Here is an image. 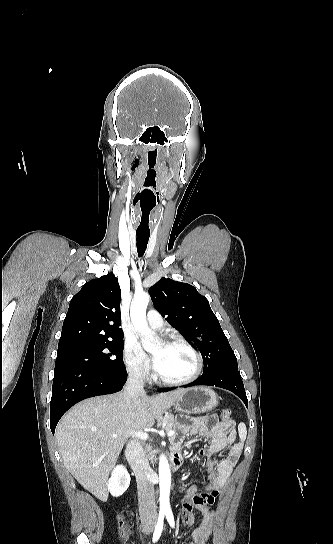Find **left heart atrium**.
<instances>
[{
	"label": "left heart atrium",
	"instance_id": "39dd6f15",
	"mask_svg": "<svg viewBox=\"0 0 333 544\" xmlns=\"http://www.w3.org/2000/svg\"><path fill=\"white\" fill-rule=\"evenodd\" d=\"M153 361H154V364H156V362H157V357L154 356Z\"/></svg>",
	"mask_w": 333,
	"mask_h": 544
}]
</instances>
